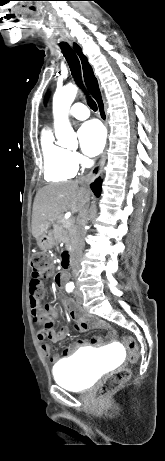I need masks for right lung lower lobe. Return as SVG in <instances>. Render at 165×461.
<instances>
[{"label":"right lung lower lobe","mask_w":165,"mask_h":461,"mask_svg":"<svg viewBox=\"0 0 165 461\" xmlns=\"http://www.w3.org/2000/svg\"><path fill=\"white\" fill-rule=\"evenodd\" d=\"M101 178L99 177L98 179H96L91 185V189L92 191L94 192V194L98 197L101 193Z\"/></svg>","instance_id":"98d812e1"}]
</instances>
